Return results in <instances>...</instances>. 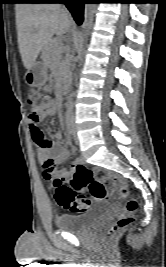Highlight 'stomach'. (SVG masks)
I'll list each match as a JSON object with an SVG mask.
<instances>
[{"instance_id": "stomach-1", "label": "stomach", "mask_w": 166, "mask_h": 267, "mask_svg": "<svg viewBox=\"0 0 166 267\" xmlns=\"http://www.w3.org/2000/svg\"><path fill=\"white\" fill-rule=\"evenodd\" d=\"M24 79L30 87H42L48 80L47 65L43 62H35L25 73Z\"/></svg>"}]
</instances>
